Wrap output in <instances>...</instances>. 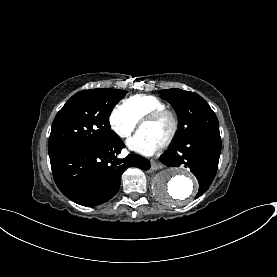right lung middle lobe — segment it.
I'll return each instance as SVG.
<instances>
[{
	"mask_svg": "<svg viewBox=\"0 0 277 277\" xmlns=\"http://www.w3.org/2000/svg\"><path fill=\"white\" fill-rule=\"evenodd\" d=\"M126 94L101 88L74 94L57 113L49 137V155L63 149L100 145L118 138L110 129L109 116Z\"/></svg>",
	"mask_w": 277,
	"mask_h": 277,
	"instance_id": "right-lung-middle-lobe-1",
	"label": "right lung middle lobe"
}]
</instances>
